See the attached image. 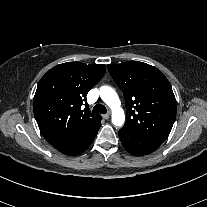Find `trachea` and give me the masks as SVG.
Masks as SVG:
<instances>
[{
  "label": "trachea",
  "instance_id": "3493384b",
  "mask_svg": "<svg viewBox=\"0 0 207 207\" xmlns=\"http://www.w3.org/2000/svg\"><path fill=\"white\" fill-rule=\"evenodd\" d=\"M93 113H101V114H105L107 112V109L104 105L102 104H97L94 108H93Z\"/></svg>",
  "mask_w": 207,
  "mask_h": 207
}]
</instances>
